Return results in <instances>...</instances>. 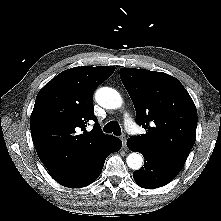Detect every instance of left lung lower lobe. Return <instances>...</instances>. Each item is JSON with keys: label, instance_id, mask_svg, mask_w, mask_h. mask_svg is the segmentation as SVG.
<instances>
[{"label": "left lung lower lobe", "instance_id": "left-lung-lower-lobe-1", "mask_svg": "<svg viewBox=\"0 0 221 221\" xmlns=\"http://www.w3.org/2000/svg\"><path fill=\"white\" fill-rule=\"evenodd\" d=\"M127 146L131 151L140 152L145 158L144 167L133 173L134 180L142 188L154 189L164 186L181 170L131 139L127 140Z\"/></svg>", "mask_w": 221, "mask_h": 221}]
</instances>
